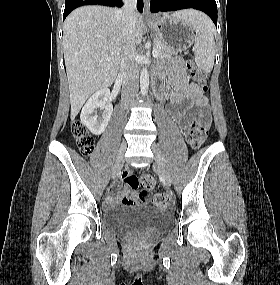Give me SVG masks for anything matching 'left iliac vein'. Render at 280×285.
I'll return each mask as SVG.
<instances>
[{"label":"left iliac vein","instance_id":"4c4485c4","mask_svg":"<svg viewBox=\"0 0 280 285\" xmlns=\"http://www.w3.org/2000/svg\"><path fill=\"white\" fill-rule=\"evenodd\" d=\"M152 150L154 153V162H155V166L157 167V169L159 170V172L161 173L164 182L167 186L171 185V174L168 170L167 164L165 162L164 156L160 151V148L158 147L157 144L153 143L152 144Z\"/></svg>","mask_w":280,"mask_h":285}]
</instances>
